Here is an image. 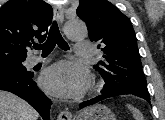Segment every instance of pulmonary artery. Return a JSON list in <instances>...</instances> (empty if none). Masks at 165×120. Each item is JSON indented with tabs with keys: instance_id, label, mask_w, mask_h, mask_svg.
<instances>
[{
	"instance_id": "1",
	"label": "pulmonary artery",
	"mask_w": 165,
	"mask_h": 120,
	"mask_svg": "<svg viewBox=\"0 0 165 120\" xmlns=\"http://www.w3.org/2000/svg\"><path fill=\"white\" fill-rule=\"evenodd\" d=\"M75 53L79 56H88L92 53V45L89 42H79L76 45ZM43 60L40 56H31L27 60L29 66H34Z\"/></svg>"
}]
</instances>
